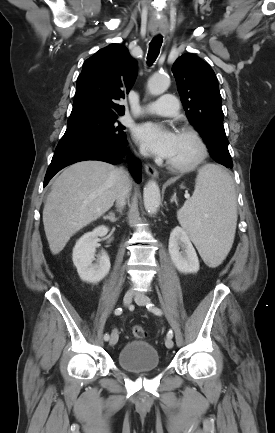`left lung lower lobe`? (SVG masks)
<instances>
[{
    "label": "left lung lower lobe",
    "instance_id": "1",
    "mask_svg": "<svg viewBox=\"0 0 275 433\" xmlns=\"http://www.w3.org/2000/svg\"><path fill=\"white\" fill-rule=\"evenodd\" d=\"M232 167H233V165L228 166V168H232Z\"/></svg>",
    "mask_w": 275,
    "mask_h": 433
}]
</instances>
